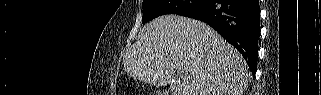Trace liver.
<instances>
[{
    "label": "liver",
    "mask_w": 321,
    "mask_h": 95,
    "mask_svg": "<svg viewBox=\"0 0 321 95\" xmlns=\"http://www.w3.org/2000/svg\"><path fill=\"white\" fill-rule=\"evenodd\" d=\"M126 73L173 95H243L251 73L242 55L198 20L164 15L123 53Z\"/></svg>",
    "instance_id": "1"
}]
</instances>
